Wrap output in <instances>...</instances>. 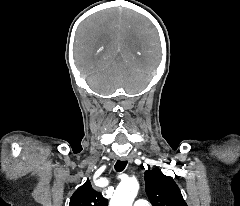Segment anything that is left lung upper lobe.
Returning <instances> with one entry per match:
<instances>
[{
    "label": "left lung upper lobe",
    "instance_id": "1",
    "mask_svg": "<svg viewBox=\"0 0 240 206\" xmlns=\"http://www.w3.org/2000/svg\"><path fill=\"white\" fill-rule=\"evenodd\" d=\"M145 184L153 206H187L173 178L165 176L160 169L146 171Z\"/></svg>",
    "mask_w": 240,
    "mask_h": 206
}]
</instances>
